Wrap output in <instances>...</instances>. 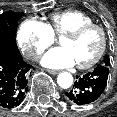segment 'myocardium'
<instances>
[{"mask_svg": "<svg viewBox=\"0 0 117 117\" xmlns=\"http://www.w3.org/2000/svg\"><path fill=\"white\" fill-rule=\"evenodd\" d=\"M91 29H96L97 31H99L101 35V45L96 55L90 61L83 63V64H77V67L83 70L89 69L93 67L94 65H96L104 56L105 51L107 49V44H108V37H107V33L105 29L98 24L91 23V24L81 25L63 34L62 36V37H69V38H77Z\"/></svg>", "mask_w": 117, "mask_h": 117, "instance_id": "1", "label": "myocardium"}]
</instances>
